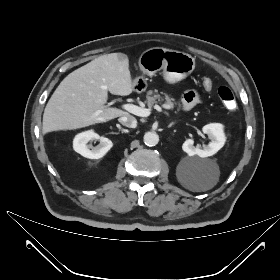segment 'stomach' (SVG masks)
<instances>
[{
	"instance_id": "obj_1",
	"label": "stomach",
	"mask_w": 280,
	"mask_h": 280,
	"mask_svg": "<svg viewBox=\"0 0 280 280\" xmlns=\"http://www.w3.org/2000/svg\"><path fill=\"white\" fill-rule=\"evenodd\" d=\"M138 64L143 75L153 76L162 70L163 77L169 84L180 82L195 69V59L190 54L162 47H153L144 51ZM133 86L144 89L146 78L137 77Z\"/></svg>"
}]
</instances>
